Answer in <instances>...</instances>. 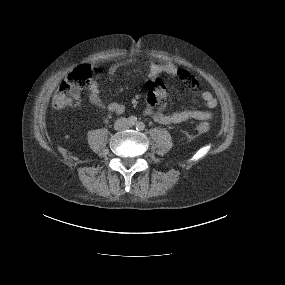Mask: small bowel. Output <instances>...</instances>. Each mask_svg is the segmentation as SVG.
I'll return each mask as SVG.
<instances>
[{
  "instance_id": "small-bowel-1",
  "label": "small bowel",
  "mask_w": 285,
  "mask_h": 285,
  "mask_svg": "<svg viewBox=\"0 0 285 285\" xmlns=\"http://www.w3.org/2000/svg\"><path fill=\"white\" fill-rule=\"evenodd\" d=\"M133 61V59H129L124 62L114 63L110 66L109 73L115 74L121 67L130 64ZM149 69L150 78L147 81V106L144 110L146 115L151 116L156 122L166 125L179 124L187 120L207 121L211 118L210 111L195 108L166 113L167 91L163 83L158 79V75H178L186 81L188 87L192 90H197L199 88V83L188 71L179 68L172 63L159 64L150 62ZM184 72L189 73L188 76H190L191 79H186L187 76L183 75ZM201 98L207 108L213 109L217 106V100L210 91L203 90L201 92ZM88 99L93 105L115 114H121L125 109L124 105L119 102L106 103L102 99L100 89L95 81H92L89 84Z\"/></svg>"
}]
</instances>
